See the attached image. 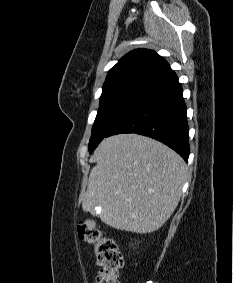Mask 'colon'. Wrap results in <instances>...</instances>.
<instances>
[{
    "mask_svg": "<svg viewBox=\"0 0 233 283\" xmlns=\"http://www.w3.org/2000/svg\"><path fill=\"white\" fill-rule=\"evenodd\" d=\"M78 234L81 239L94 246L98 275L96 283H119L118 272L123 257L114 239L106 237L99 224L91 218L80 221Z\"/></svg>",
    "mask_w": 233,
    "mask_h": 283,
    "instance_id": "1",
    "label": "colon"
}]
</instances>
